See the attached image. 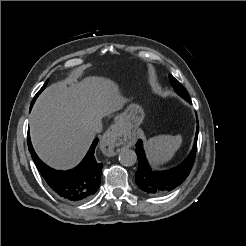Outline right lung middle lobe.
<instances>
[{"instance_id":"dd1d6c3e","label":"right lung middle lobe","mask_w":246,"mask_h":246,"mask_svg":"<svg viewBox=\"0 0 246 246\" xmlns=\"http://www.w3.org/2000/svg\"><path fill=\"white\" fill-rule=\"evenodd\" d=\"M47 82H48V81L45 82V84L43 85V87H42V88L40 89V91L36 94V96L34 97V100H33V101H35L36 98L38 97V95L45 89Z\"/></svg>"}]
</instances>
